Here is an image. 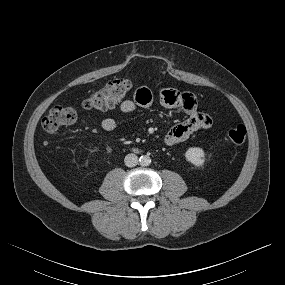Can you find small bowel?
<instances>
[{
  "label": "small bowel",
  "mask_w": 285,
  "mask_h": 285,
  "mask_svg": "<svg viewBox=\"0 0 285 285\" xmlns=\"http://www.w3.org/2000/svg\"><path fill=\"white\" fill-rule=\"evenodd\" d=\"M160 101L167 108L180 107L188 115L183 122L174 125L166 134L165 142L168 145L178 144L187 140L194 132L201 129H209L213 125V118L197 109L195 96L190 92H181L175 89L165 88L160 93ZM153 103V94L149 87L142 85L137 88L133 99H126L119 105L121 112L129 114L137 108H149ZM117 121L113 118H105L101 127L107 132L117 128Z\"/></svg>",
  "instance_id": "1"
}]
</instances>
